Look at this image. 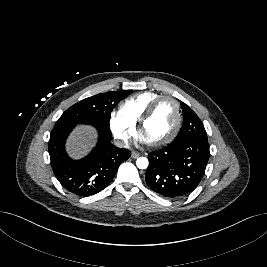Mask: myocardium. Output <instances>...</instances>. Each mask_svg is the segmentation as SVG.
I'll return each instance as SVG.
<instances>
[{"mask_svg":"<svg viewBox=\"0 0 267 267\" xmlns=\"http://www.w3.org/2000/svg\"><path fill=\"white\" fill-rule=\"evenodd\" d=\"M171 101L176 108V123L172 129V131L163 139L155 141V142H147L149 146L152 147H159L162 145H165L172 141L177 133L180 130L181 124H182V112H181V106L180 103L171 96H160L157 99H155L145 110L141 118L139 119L137 123V133L141 137V132L145 124L148 122V120L152 117L153 113L155 112L156 108L163 102V101Z\"/></svg>","mask_w":267,"mask_h":267,"instance_id":"obj_1","label":"myocardium"}]
</instances>
